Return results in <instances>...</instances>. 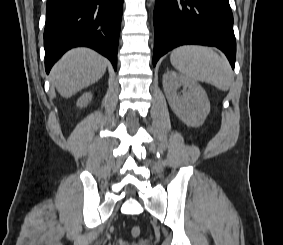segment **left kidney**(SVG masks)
<instances>
[{
	"label": "left kidney",
	"mask_w": 283,
	"mask_h": 245,
	"mask_svg": "<svg viewBox=\"0 0 283 245\" xmlns=\"http://www.w3.org/2000/svg\"><path fill=\"white\" fill-rule=\"evenodd\" d=\"M183 87L182 95L177 92ZM163 89L173 112L187 126H201L210 112V102L199 83L174 71L163 75Z\"/></svg>",
	"instance_id": "obj_1"
}]
</instances>
